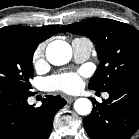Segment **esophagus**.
<instances>
[{
  "label": "esophagus",
  "mask_w": 139,
  "mask_h": 139,
  "mask_svg": "<svg viewBox=\"0 0 139 139\" xmlns=\"http://www.w3.org/2000/svg\"><path fill=\"white\" fill-rule=\"evenodd\" d=\"M65 99H66L67 103H72L76 98L71 97V96H67Z\"/></svg>",
  "instance_id": "1"
}]
</instances>
